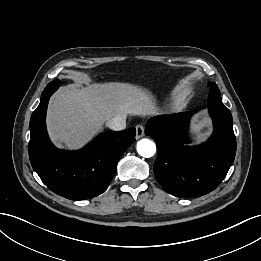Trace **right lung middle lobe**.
I'll use <instances>...</instances> for the list:
<instances>
[{
  "instance_id": "1",
  "label": "right lung middle lobe",
  "mask_w": 261,
  "mask_h": 261,
  "mask_svg": "<svg viewBox=\"0 0 261 261\" xmlns=\"http://www.w3.org/2000/svg\"><path fill=\"white\" fill-rule=\"evenodd\" d=\"M53 82H54V83H59V80H58V79H56V80H54Z\"/></svg>"
}]
</instances>
